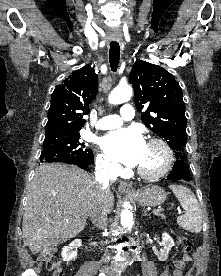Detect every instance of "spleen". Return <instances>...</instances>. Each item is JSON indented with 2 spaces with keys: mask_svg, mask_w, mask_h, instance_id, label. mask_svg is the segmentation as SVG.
I'll return each mask as SVG.
<instances>
[{
  "mask_svg": "<svg viewBox=\"0 0 221 276\" xmlns=\"http://www.w3.org/2000/svg\"><path fill=\"white\" fill-rule=\"evenodd\" d=\"M169 188L185 210V214L177 218L178 225L191 233H199L202 229V211L194 193L182 185H170Z\"/></svg>",
  "mask_w": 221,
  "mask_h": 276,
  "instance_id": "obj_1",
  "label": "spleen"
}]
</instances>
